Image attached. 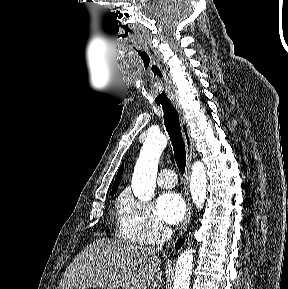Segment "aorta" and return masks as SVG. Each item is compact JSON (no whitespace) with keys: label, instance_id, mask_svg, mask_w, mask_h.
Segmentation results:
<instances>
[{"label":"aorta","instance_id":"obj_1","mask_svg":"<svg viewBox=\"0 0 288 289\" xmlns=\"http://www.w3.org/2000/svg\"><path fill=\"white\" fill-rule=\"evenodd\" d=\"M166 144L167 138L160 133L148 135L143 143L132 178L133 193L141 201H149L154 196L158 161ZM189 187L194 204L201 209L206 199L207 177L205 167L200 161H196L192 166ZM193 253V249H187L178 256L172 289H189Z\"/></svg>","mask_w":288,"mask_h":289}]
</instances>
